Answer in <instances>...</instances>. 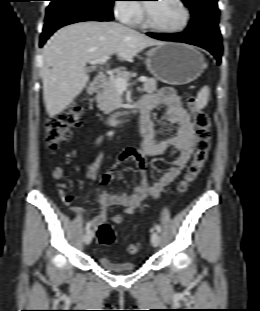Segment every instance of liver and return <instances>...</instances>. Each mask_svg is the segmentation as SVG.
<instances>
[{
  "label": "liver",
  "mask_w": 260,
  "mask_h": 311,
  "mask_svg": "<svg viewBox=\"0 0 260 311\" xmlns=\"http://www.w3.org/2000/svg\"><path fill=\"white\" fill-rule=\"evenodd\" d=\"M164 44L116 22L84 21L59 29L43 49V99L50 117L62 113L89 82V61L117 54L132 59L143 49Z\"/></svg>",
  "instance_id": "6515ba94"
}]
</instances>
